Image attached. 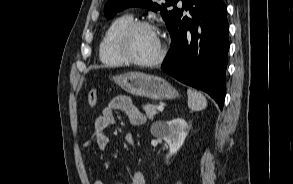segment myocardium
Segmentation results:
<instances>
[{
  "instance_id": "obj_1",
  "label": "myocardium",
  "mask_w": 293,
  "mask_h": 184,
  "mask_svg": "<svg viewBox=\"0 0 293 184\" xmlns=\"http://www.w3.org/2000/svg\"><path fill=\"white\" fill-rule=\"evenodd\" d=\"M139 28H148L154 31L159 37V40H160L159 53L155 58L151 60H138L132 57L128 51L129 38L131 34ZM116 50L118 54L120 55V57L127 63L133 64L136 66H142V67H152V66L160 64L164 60L167 53V45L160 29L155 24L145 20H134L130 22L128 25H126L118 34L116 39Z\"/></svg>"
}]
</instances>
